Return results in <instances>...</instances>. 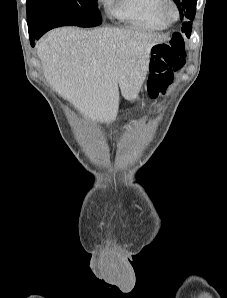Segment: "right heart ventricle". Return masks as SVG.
I'll return each mask as SVG.
<instances>
[{
    "mask_svg": "<svg viewBox=\"0 0 227 298\" xmlns=\"http://www.w3.org/2000/svg\"><path fill=\"white\" fill-rule=\"evenodd\" d=\"M159 0H108V11L121 20L141 30H163L168 27L157 13Z\"/></svg>",
    "mask_w": 227,
    "mask_h": 298,
    "instance_id": "right-heart-ventricle-1",
    "label": "right heart ventricle"
}]
</instances>
